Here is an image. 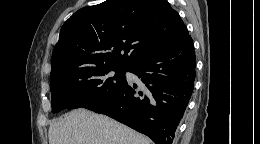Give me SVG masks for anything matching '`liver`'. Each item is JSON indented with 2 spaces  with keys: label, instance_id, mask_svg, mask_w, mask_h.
<instances>
[{
  "label": "liver",
  "instance_id": "1",
  "mask_svg": "<svg viewBox=\"0 0 260 144\" xmlns=\"http://www.w3.org/2000/svg\"><path fill=\"white\" fill-rule=\"evenodd\" d=\"M49 144H151L133 129L85 109L73 110L49 127Z\"/></svg>",
  "mask_w": 260,
  "mask_h": 144
}]
</instances>
